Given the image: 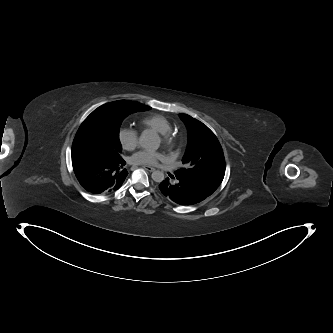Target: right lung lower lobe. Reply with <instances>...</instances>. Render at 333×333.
I'll return each instance as SVG.
<instances>
[{
  "label": "right lung lower lobe",
  "mask_w": 333,
  "mask_h": 333,
  "mask_svg": "<svg viewBox=\"0 0 333 333\" xmlns=\"http://www.w3.org/2000/svg\"><path fill=\"white\" fill-rule=\"evenodd\" d=\"M124 159L106 160L91 152H73V170L81 186L92 194H107L118 190L128 172Z\"/></svg>",
  "instance_id": "obj_1"
}]
</instances>
